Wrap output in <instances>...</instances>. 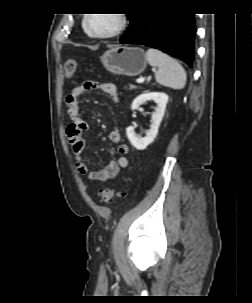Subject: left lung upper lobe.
<instances>
[{"mask_svg": "<svg viewBox=\"0 0 252 303\" xmlns=\"http://www.w3.org/2000/svg\"><path fill=\"white\" fill-rule=\"evenodd\" d=\"M141 14L142 13H135L127 16L130 19V26L127 28L121 39L126 38L133 31L141 17Z\"/></svg>", "mask_w": 252, "mask_h": 303, "instance_id": "1", "label": "left lung upper lobe"}]
</instances>
